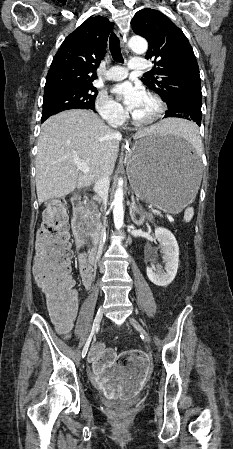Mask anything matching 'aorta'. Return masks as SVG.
<instances>
[{"label": "aorta", "instance_id": "762f6f07", "mask_svg": "<svg viewBox=\"0 0 233 449\" xmlns=\"http://www.w3.org/2000/svg\"><path fill=\"white\" fill-rule=\"evenodd\" d=\"M128 47L136 54H144L148 49V44L142 37L134 36L130 38L128 42ZM123 179L120 178L118 181V188L114 195L113 200V218L114 225L117 230L122 228L124 220V206H123V189H122Z\"/></svg>", "mask_w": 233, "mask_h": 449}]
</instances>
